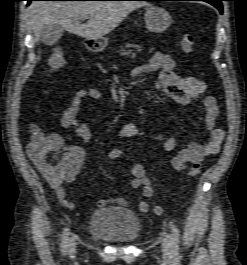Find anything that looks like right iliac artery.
Masks as SVG:
<instances>
[{"label": "right iliac artery", "instance_id": "82829eb1", "mask_svg": "<svg viewBox=\"0 0 247 265\" xmlns=\"http://www.w3.org/2000/svg\"><path fill=\"white\" fill-rule=\"evenodd\" d=\"M69 229L65 228L64 232L62 234V241H61V251L63 255H66L68 252V247H69Z\"/></svg>", "mask_w": 247, "mask_h": 265}]
</instances>
